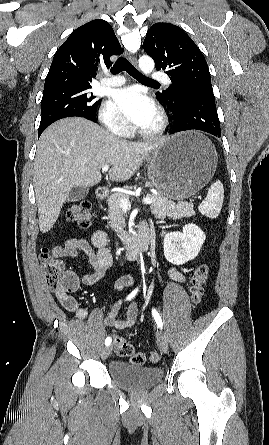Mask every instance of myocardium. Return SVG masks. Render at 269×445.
I'll return each mask as SVG.
<instances>
[{
    "instance_id": "1",
    "label": "myocardium",
    "mask_w": 269,
    "mask_h": 445,
    "mask_svg": "<svg viewBox=\"0 0 269 445\" xmlns=\"http://www.w3.org/2000/svg\"><path fill=\"white\" fill-rule=\"evenodd\" d=\"M158 122L155 127L149 130L139 129L137 132L144 138H153L161 135L167 128L168 120L165 113L161 110L157 112Z\"/></svg>"
}]
</instances>
